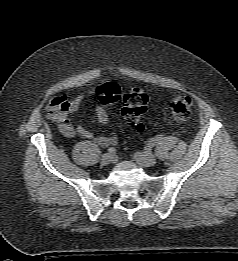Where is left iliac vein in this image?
I'll return each instance as SVG.
<instances>
[{
	"mask_svg": "<svg viewBox=\"0 0 238 261\" xmlns=\"http://www.w3.org/2000/svg\"><path fill=\"white\" fill-rule=\"evenodd\" d=\"M134 159L143 167L153 166L156 163L155 156L148 152H137L134 154Z\"/></svg>",
	"mask_w": 238,
	"mask_h": 261,
	"instance_id": "1",
	"label": "left iliac vein"
}]
</instances>
